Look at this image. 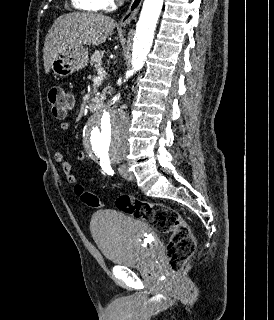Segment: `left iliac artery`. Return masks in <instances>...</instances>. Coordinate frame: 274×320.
Masks as SVG:
<instances>
[{"mask_svg":"<svg viewBox=\"0 0 274 320\" xmlns=\"http://www.w3.org/2000/svg\"><path fill=\"white\" fill-rule=\"evenodd\" d=\"M101 168L109 175H113L114 171L110 166V162L108 160H100Z\"/></svg>","mask_w":274,"mask_h":320,"instance_id":"44dca946","label":"left iliac artery"}]
</instances>
